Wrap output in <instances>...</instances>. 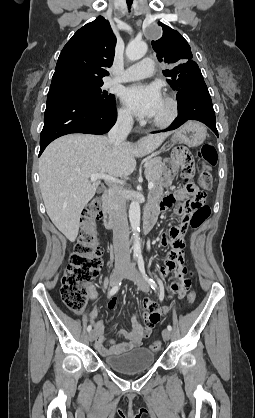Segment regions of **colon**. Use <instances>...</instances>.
Returning <instances> with one entry per match:
<instances>
[{"instance_id": "obj_1", "label": "colon", "mask_w": 255, "mask_h": 418, "mask_svg": "<svg viewBox=\"0 0 255 418\" xmlns=\"http://www.w3.org/2000/svg\"><path fill=\"white\" fill-rule=\"evenodd\" d=\"M198 157L202 164L198 184L200 188L207 190L212 187L211 168L217 163V151L213 145L205 144L199 149ZM191 171V163H185L183 175L191 177ZM205 200L204 192L196 191L193 198L187 200L179 208L184 217L181 227H185L188 231L189 227L197 228L209 218L210 208L205 204ZM102 206V200L95 198L84 208L81 232L70 256L68 267L62 277L60 289L62 300L68 309L75 314H80L85 309L89 285L96 279L102 266L103 248L98 239L97 227V221L102 214ZM186 270L187 274H192L187 267ZM195 298V292L190 290L187 295L188 304L191 305ZM160 347L161 343L158 340H153L150 344L153 351H158Z\"/></svg>"}]
</instances>
